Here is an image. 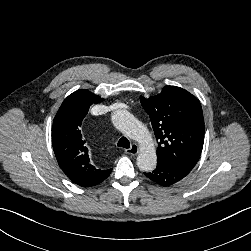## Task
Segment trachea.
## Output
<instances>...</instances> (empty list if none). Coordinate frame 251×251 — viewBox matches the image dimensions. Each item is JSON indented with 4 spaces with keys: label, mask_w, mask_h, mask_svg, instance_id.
Instances as JSON below:
<instances>
[{
    "label": "trachea",
    "mask_w": 251,
    "mask_h": 251,
    "mask_svg": "<svg viewBox=\"0 0 251 251\" xmlns=\"http://www.w3.org/2000/svg\"><path fill=\"white\" fill-rule=\"evenodd\" d=\"M117 146L128 149L130 147V142L126 137L119 139Z\"/></svg>",
    "instance_id": "3493384b"
}]
</instances>
